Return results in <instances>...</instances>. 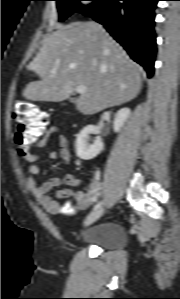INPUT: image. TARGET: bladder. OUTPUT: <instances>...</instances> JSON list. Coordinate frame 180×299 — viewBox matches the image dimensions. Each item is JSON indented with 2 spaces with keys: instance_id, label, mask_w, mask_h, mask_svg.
<instances>
[{
  "instance_id": "bladder-1",
  "label": "bladder",
  "mask_w": 180,
  "mask_h": 299,
  "mask_svg": "<svg viewBox=\"0 0 180 299\" xmlns=\"http://www.w3.org/2000/svg\"><path fill=\"white\" fill-rule=\"evenodd\" d=\"M83 243L105 249H117L125 241L123 226L115 222H105L83 231L79 237Z\"/></svg>"
}]
</instances>
